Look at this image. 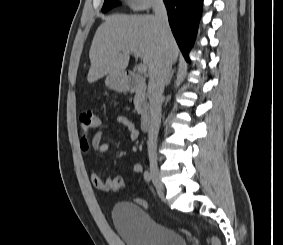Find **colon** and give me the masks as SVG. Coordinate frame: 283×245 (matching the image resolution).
<instances>
[{
  "label": "colon",
  "instance_id": "1",
  "mask_svg": "<svg viewBox=\"0 0 283 245\" xmlns=\"http://www.w3.org/2000/svg\"><path fill=\"white\" fill-rule=\"evenodd\" d=\"M80 123H81V132L82 134H87L89 133L90 130L94 128H98L100 126V120L96 115L93 113L92 110L87 109L84 110L80 114ZM125 186V181L122 177H115L112 180V190L114 191H119L122 190ZM135 202L141 206L146 208L147 207V202L141 198H137ZM211 245H220V242L217 238L213 237L211 239Z\"/></svg>",
  "mask_w": 283,
  "mask_h": 245
}]
</instances>
